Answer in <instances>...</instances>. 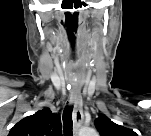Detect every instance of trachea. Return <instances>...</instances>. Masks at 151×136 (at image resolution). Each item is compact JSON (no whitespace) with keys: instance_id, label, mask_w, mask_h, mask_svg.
<instances>
[{"instance_id":"3493384b","label":"trachea","mask_w":151,"mask_h":136,"mask_svg":"<svg viewBox=\"0 0 151 136\" xmlns=\"http://www.w3.org/2000/svg\"><path fill=\"white\" fill-rule=\"evenodd\" d=\"M64 134L70 136L72 132V106H67L63 112Z\"/></svg>"}]
</instances>
